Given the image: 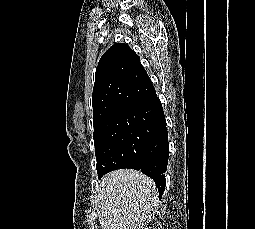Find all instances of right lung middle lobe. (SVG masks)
<instances>
[{"label":"right lung middle lobe","mask_w":255,"mask_h":229,"mask_svg":"<svg viewBox=\"0 0 255 229\" xmlns=\"http://www.w3.org/2000/svg\"><path fill=\"white\" fill-rule=\"evenodd\" d=\"M153 131L126 113H117L94 130L93 139L100 179L106 173L139 163Z\"/></svg>","instance_id":"obj_1"}]
</instances>
